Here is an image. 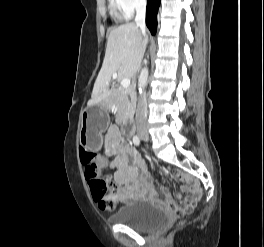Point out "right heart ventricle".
I'll use <instances>...</instances> for the list:
<instances>
[{
    "instance_id": "obj_1",
    "label": "right heart ventricle",
    "mask_w": 264,
    "mask_h": 247,
    "mask_svg": "<svg viewBox=\"0 0 264 247\" xmlns=\"http://www.w3.org/2000/svg\"><path fill=\"white\" fill-rule=\"evenodd\" d=\"M110 2H111V9L114 11L115 7L112 5V0H110Z\"/></svg>"
}]
</instances>
